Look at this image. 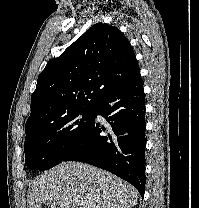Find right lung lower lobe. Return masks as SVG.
<instances>
[{
  "mask_svg": "<svg viewBox=\"0 0 199 208\" xmlns=\"http://www.w3.org/2000/svg\"><path fill=\"white\" fill-rule=\"evenodd\" d=\"M101 115L106 127L95 120ZM93 122L63 161H80L108 170L145 190V95L139 75L103 96L93 106ZM104 131L106 135H100Z\"/></svg>",
  "mask_w": 199,
  "mask_h": 208,
  "instance_id": "98d812e1",
  "label": "right lung lower lobe"
}]
</instances>
